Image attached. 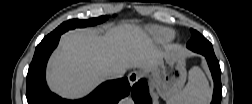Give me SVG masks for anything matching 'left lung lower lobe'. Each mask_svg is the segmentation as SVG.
<instances>
[{"instance_id": "obj_1", "label": "left lung lower lobe", "mask_w": 252, "mask_h": 104, "mask_svg": "<svg viewBox=\"0 0 252 104\" xmlns=\"http://www.w3.org/2000/svg\"><path fill=\"white\" fill-rule=\"evenodd\" d=\"M189 43V42H188ZM188 48V46H187ZM189 49V48H188ZM208 63L214 80V93L211 104H220L222 98L221 69L215 54H202ZM135 104H152L148 85L145 79L139 80L131 89Z\"/></svg>"}]
</instances>
